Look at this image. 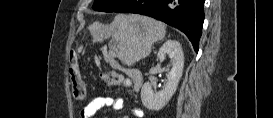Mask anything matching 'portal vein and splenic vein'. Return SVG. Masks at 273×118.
I'll list each match as a JSON object with an SVG mask.
<instances>
[{"label": "portal vein and splenic vein", "instance_id": "1", "mask_svg": "<svg viewBox=\"0 0 273 118\" xmlns=\"http://www.w3.org/2000/svg\"><path fill=\"white\" fill-rule=\"evenodd\" d=\"M117 43V42H116ZM117 47L119 48V49H121V46L117 43Z\"/></svg>", "mask_w": 273, "mask_h": 118}]
</instances>
